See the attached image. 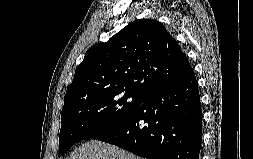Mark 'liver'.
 Returning a JSON list of instances; mask_svg holds the SVG:
<instances>
[{
	"mask_svg": "<svg viewBox=\"0 0 253 159\" xmlns=\"http://www.w3.org/2000/svg\"><path fill=\"white\" fill-rule=\"evenodd\" d=\"M67 159H143L115 145L91 140L80 145Z\"/></svg>",
	"mask_w": 253,
	"mask_h": 159,
	"instance_id": "6515ba94",
	"label": "liver"
}]
</instances>
